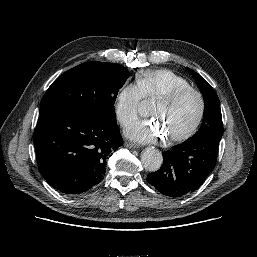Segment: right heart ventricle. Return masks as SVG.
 <instances>
[{"mask_svg": "<svg viewBox=\"0 0 257 257\" xmlns=\"http://www.w3.org/2000/svg\"><path fill=\"white\" fill-rule=\"evenodd\" d=\"M136 84L146 99H158L173 90L190 86L185 78L168 69L139 71Z\"/></svg>", "mask_w": 257, "mask_h": 257, "instance_id": "obj_1", "label": "right heart ventricle"}]
</instances>
